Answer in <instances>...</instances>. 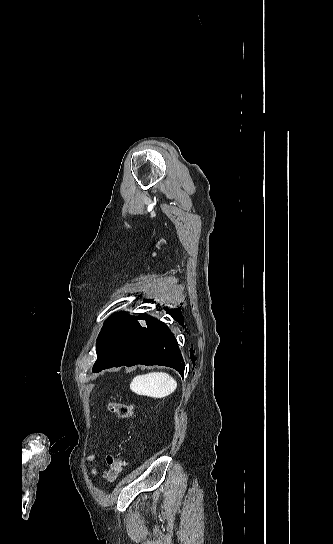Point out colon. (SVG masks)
I'll use <instances>...</instances> for the list:
<instances>
[{"mask_svg": "<svg viewBox=\"0 0 333 544\" xmlns=\"http://www.w3.org/2000/svg\"><path fill=\"white\" fill-rule=\"evenodd\" d=\"M107 408L111 413L116 414L122 419L134 420L135 418L134 409L131 405L108 402ZM106 463L108 469L104 474L105 479L110 483H114L122 474L126 460L119 454L110 453L106 456Z\"/></svg>", "mask_w": 333, "mask_h": 544, "instance_id": "colon-1", "label": "colon"}]
</instances>
